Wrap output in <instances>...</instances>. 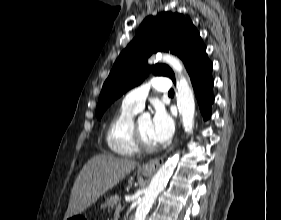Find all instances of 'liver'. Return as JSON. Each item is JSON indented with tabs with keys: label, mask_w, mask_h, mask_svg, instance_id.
I'll use <instances>...</instances> for the list:
<instances>
[{
	"label": "liver",
	"mask_w": 281,
	"mask_h": 220,
	"mask_svg": "<svg viewBox=\"0 0 281 220\" xmlns=\"http://www.w3.org/2000/svg\"><path fill=\"white\" fill-rule=\"evenodd\" d=\"M136 165L137 162L132 159L116 158L112 155L99 154L92 157L74 182L64 220L84 212L100 196L129 175Z\"/></svg>",
	"instance_id": "6515ba94"
}]
</instances>
